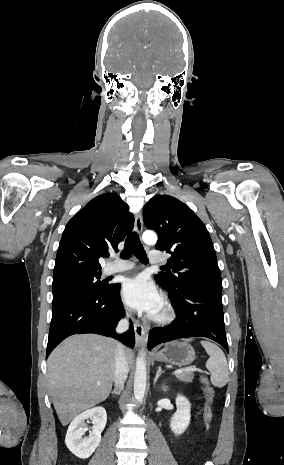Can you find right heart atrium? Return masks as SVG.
<instances>
[{
  "mask_svg": "<svg viewBox=\"0 0 284 465\" xmlns=\"http://www.w3.org/2000/svg\"><path fill=\"white\" fill-rule=\"evenodd\" d=\"M122 316H123L124 318H128V317H129L128 311H127V310H122Z\"/></svg>",
  "mask_w": 284,
  "mask_h": 465,
  "instance_id": "obj_1",
  "label": "right heart atrium"
}]
</instances>
